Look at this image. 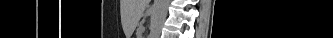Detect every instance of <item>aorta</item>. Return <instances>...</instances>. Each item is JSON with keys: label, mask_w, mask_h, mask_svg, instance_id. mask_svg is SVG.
Returning a JSON list of instances; mask_svg holds the SVG:
<instances>
[{"label": "aorta", "mask_w": 333, "mask_h": 38, "mask_svg": "<svg viewBox=\"0 0 333 38\" xmlns=\"http://www.w3.org/2000/svg\"><path fill=\"white\" fill-rule=\"evenodd\" d=\"M169 0H154V16L149 38H159L166 19Z\"/></svg>", "instance_id": "762f6f07"}]
</instances>
